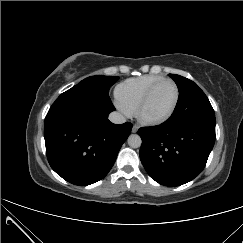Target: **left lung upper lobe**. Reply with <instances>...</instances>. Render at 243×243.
Returning <instances> with one entry per match:
<instances>
[{"label":"left lung upper lobe","instance_id":"5c2ea615","mask_svg":"<svg viewBox=\"0 0 243 243\" xmlns=\"http://www.w3.org/2000/svg\"><path fill=\"white\" fill-rule=\"evenodd\" d=\"M179 90V98L172 114L182 120L215 123L214 110L204 92L191 80L169 74Z\"/></svg>","mask_w":243,"mask_h":243}]
</instances>
